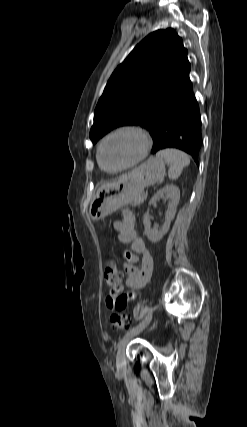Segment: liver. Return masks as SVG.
I'll use <instances>...</instances> for the list:
<instances>
[{
	"mask_svg": "<svg viewBox=\"0 0 247 427\" xmlns=\"http://www.w3.org/2000/svg\"><path fill=\"white\" fill-rule=\"evenodd\" d=\"M126 175H123L120 179H122V178H124ZM119 179V180H120ZM116 182H114V183H109V184H104L101 188H104V187H108V186H112V185H114Z\"/></svg>",
	"mask_w": 247,
	"mask_h": 427,
	"instance_id": "6515ba94",
	"label": "liver"
}]
</instances>
